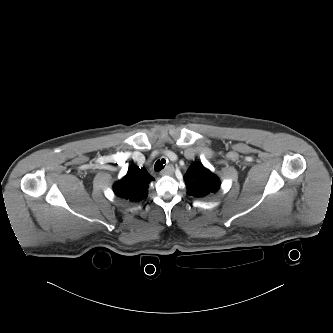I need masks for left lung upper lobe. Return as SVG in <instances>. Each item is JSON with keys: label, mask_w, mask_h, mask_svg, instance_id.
I'll return each instance as SVG.
<instances>
[{"label": "left lung upper lobe", "mask_w": 333, "mask_h": 333, "mask_svg": "<svg viewBox=\"0 0 333 333\" xmlns=\"http://www.w3.org/2000/svg\"><path fill=\"white\" fill-rule=\"evenodd\" d=\"M187 194L195 198L215 194L220 188L219 178L201 163H193L184 175Z\"/></svg>", "instance_id": "1"}]
</instances>
